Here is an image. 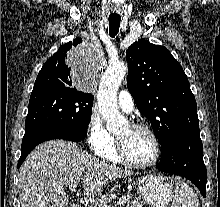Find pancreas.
I'll return each instance as SVG.
<instances>
[{
	"label": "pancreas",
	"instance_id": "pancreas-1",
	"mask_svg": "<svg viewBox=\"0 0 220 207\" xmlns=\"http://www.w3.org/2000/svg\"><path fill=\"white\" fill-rule=\"evenodd\" d=\"M93 207H105V203L98 200V202ZM126 207H143V204L138 199L128 200Z\"/></svg>",
	"mask_w": 220,
	"mask_h": 207
}]
</instances>
